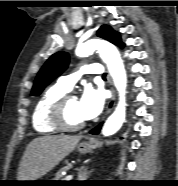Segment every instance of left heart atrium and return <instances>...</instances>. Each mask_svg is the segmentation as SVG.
I'll list each match as a JSON object with an SVG mask.
<instances>
[{"mask_svg": "<svg viewBox=\"0 0 178 186\" xmlns=\"http://www.w3.org/2000/svg\"><path fill=\"white\" fill-rule=\"evenodd\" d=\"M104 107V93L101 89L87 87L79 100V109L85 120L97 117Z\"/></svg>", "mask_w": 178, "mask_h": 186, "instance_id": "39dd6f15", "label": "left heart atrium"}]
</instances>
